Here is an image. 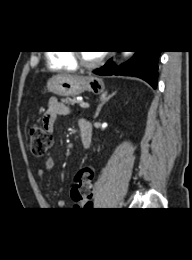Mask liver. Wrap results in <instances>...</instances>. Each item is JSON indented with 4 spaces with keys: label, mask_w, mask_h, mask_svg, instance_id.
I'll return each mask as SVG.
<instances>
[{
    "label": "liver",
    "mask_w": 192,
    "mask_h": 260,
    "mask_svg": "<svg viewBox=\"0 0 192 260\" xmlns=\"http://www.w3.org/2000/svg\"><path fill=\"white\" fill-rule=\"evenodd\" d=\"M64 76H69V77H73L72 75H68V74H63Z\"/></svg>",
    "instance_id": "liver-1"
}]
</instances>
